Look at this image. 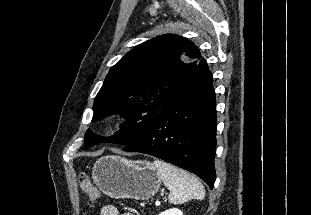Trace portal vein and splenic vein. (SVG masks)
Here are the masks:
<instances>
[{
    "instance_id": "18ae733b",
    "label": "portal vein and splenic vein",
    "mask_w": 311,
    "mask_h": 215,
    "mask_svg": "<svg viewBox=\"0 0 311 215\" xmlns=\"http://www.w3.org/2000/svg\"><path fill=\"white\" fill-rule=\"evenodd\" d=\"M156 206H159L160 205V201H156Z\"/></svg>"
}]
</instances>
